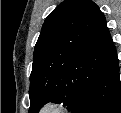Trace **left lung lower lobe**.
Wrapping results in <instances>:
<instances>
[{"instance_id": "1", "label": "left lung lower lobe", "mask_w": 121, "mask_h": 113, "mask_svg": "<svg viewBox=\"0 0 121 113\" xmlns=\"http://www.w3.org/2000/svg\"><path fill=\"white\" fill-rule=\"evenodd\" d=\"M71 113H121V83L116 49L81 94Z\"/></svg>"}]
</instances>
